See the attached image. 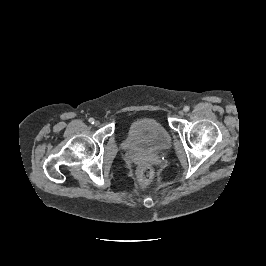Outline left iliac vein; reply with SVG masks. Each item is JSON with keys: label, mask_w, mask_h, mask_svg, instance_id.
Here are the masks:
<instances>
[{"label": "left iliac vein", "mask_w": 266, "mask_h": 266, "mask_svg": "<svg viewBox=\"0 0 266 266\" xmlns=\"http://www.w3.org/2000/svg\"><path fill=\"white\" fill-rule=\"evenodd\" d=\"M178 115H179L180 117H183V116H184V111H183V110H180V111L178 112Z\"/></svg>", "instance_id": "1"}]
</instances>
